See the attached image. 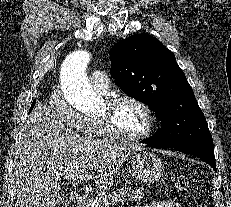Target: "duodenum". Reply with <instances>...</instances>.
<instances>
[{
	"instance_id": "410a0bca",
	"label": "duodenum",
	"mask_w": 231,
	"mask_h": 207,
	"mask_svg": "<svg viewBox=\"0 0 231 207\" xmlns=\"http://www.w3.org/2000/svg\"><path fill=\"white\" fill-rule=\"evenodd\" d=\"M91 205H92V197L89 195L81 196L78 199L77 207H91Z\"/></svg>"
}]
</instances>
